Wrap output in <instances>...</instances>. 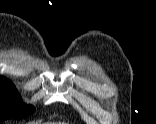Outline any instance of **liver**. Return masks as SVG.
I'll return each mask as SVG.
<instances>
[{
  "label": "liver",
  "mask_w": 156,
  "mask_h": 124,
  "mask_svg": "<svg viewBox=\"0 0 156 124\" xmlns=\"http://www.w3.org/2000/svg\"><path fill=\"white\" fill-rule=\"evenodd\" d=\"M49 124H65L63 122H52V123H49Z\"/></svg>",
  "instance_id": "liver-1"
}]
</instances>
